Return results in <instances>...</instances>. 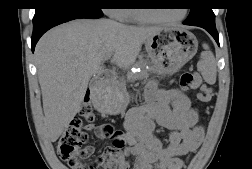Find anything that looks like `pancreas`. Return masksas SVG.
I'll return each mask as SVG.
<instances>
[{
    "mask_svg": "<svg viewBox=\"0 0 252 169\" xmlns=\"http://www.w3.org/2000/svg\"><path fill=\"white\" fill-rule=\"evenodd\" d=\"M149 71L143 69L140 73L130 74L131 79H146L149 75Z\"/></svg>",
    "mask_w": 252,
    "mask_h": 169,
    "instance_id": "obj_1",
    "label": "pancreas"
}]
</instances>
